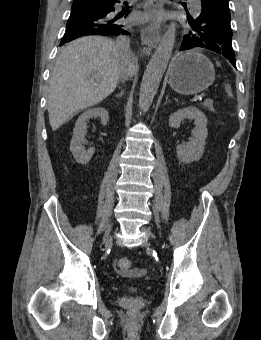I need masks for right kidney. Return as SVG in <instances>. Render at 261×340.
<instances>
[{"instance_id": "1", "label": "right kidney", "mask_w": 261, "mask_h": 340, "mask_svg": "<svg viewBox=\"0 0 261 340\" xmlns=\"http://www.w3.org/2000/svg\"><path fill=\"white\" fill-rule=\"evenodd\" d=\"M93 117H100L104 126L109 122L108 112L104 108H91L86 110L77 119L75 128L73 129V137L70 142V151L72 152L73 157L77 163L82 165L87 164L95 152L94 147H90L86 150L82 146L87 133L86 122Z\"/></svg>"}]
</instances>
